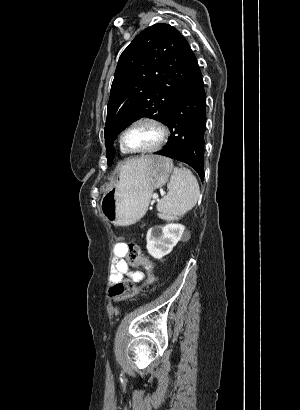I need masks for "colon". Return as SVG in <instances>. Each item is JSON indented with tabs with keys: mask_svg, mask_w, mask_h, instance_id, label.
Returning a JSON list of instances; mask_svg holds the SVG:
<instances>
[{
	"mask_svg": "<svg viewBox=\"0 0 300 410\" xmlns=\"http://www.w3.org/2000/svg\"><path fill=\"white\" fill-rule=\"evenodd\" d=\"M125 253H126L125 257L130 264L132 265L142 264L148 270L152 269L151 261L147 257L144 256L139 245L135 243H130L126 245ZM154 281H155L154 276L152 275L149 276L144 284V287L151 286L154 283ZM139 290H140V287L133 284L130 280L121 279L112 284V286L110 287L109 293H110V296L114 300L122 301V300L130 298L135 293H137Z\"/></svg>",
	"mask_w": 300,
	"mask_h": 410,
	"instance_id": "1",
	"label": "colon"
}]
</instances>
